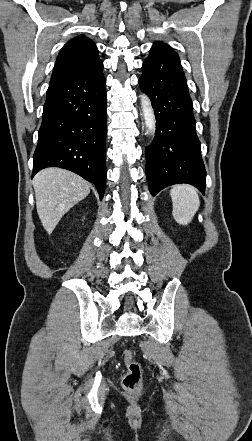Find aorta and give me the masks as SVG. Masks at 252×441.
<instances>
[{"instance_id": "obj_1", "label": "aorta", "mask_w": 252, "mask_h": 441, "mask_svg": "<svg viewBox=\"0 0 252 441\" xmlns=\"http://www.w3.org/2000/svg\"><path fill=\"white\" fill-rule=\"evenodd\" d=\"M141 108L144 117L147 134L154 135L156 129V119L151 105V101L146 94L141 95Z\"/></svg>"}]
</instances>
